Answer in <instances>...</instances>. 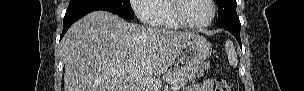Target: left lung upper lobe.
<instances>
[{
    "label": "left lung upper lobe",
    "instance_id": "1",
    "mask_svg": "<svg viewBox=\"0 0 304 91\" xmlns=\"http://www.w3.org/2000/svg\"><path fill=\"white\" fill-rule=\"evenodd\" d=\"M218 6V27L241 25L236 13V0H216Z\"/></svg>",
    "mask_w": 304,
    "mask_h": 91
}]
</instances>
